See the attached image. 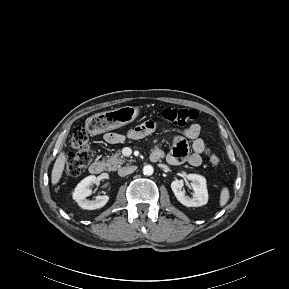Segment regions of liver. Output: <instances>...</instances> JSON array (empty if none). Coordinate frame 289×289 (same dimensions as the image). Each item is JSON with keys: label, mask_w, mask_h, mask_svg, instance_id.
Here are the masks:
<instances>
[{"label": "liver", "mask_w": 289, "mask_h": 289, "mask_svg": "<svg viewBox=\"0 0 289 289\" xmlns=\"http://www.w3.org/2000/svg\"><path fill=\"white\" fill-rule=\"evenodd\" d=\"M67 161V157L64 152H61L60 155L57 157L51 174V182L52 185H56L63 174L64 168H65V162Z\"/></svg>", "instance_id": "liver-1"}]
</instances>
